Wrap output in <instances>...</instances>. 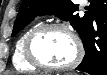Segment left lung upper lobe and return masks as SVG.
<instances>
[{"label": "left lung upper lobe", "instance_id": "1", "mask_svg": "<svg viewBox=\"0 0 107 75\" xmlns=\"http://www.w3.org/2000/svg\"><path fill=\"white\" fill-rule=\"evenodd\" d=\"M78 6L71 0H23L19 9L17 19L14 24L12 36L16 35L36 16L44 14H54L62 20L69 21L73 28L82 34L89 22V16L86 12L84 16L75 13ZM96 35L104 39L107 33L97 29Z\"/></svg>", "mask_w": 107, "mask_h": 75}]
</instances>
